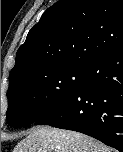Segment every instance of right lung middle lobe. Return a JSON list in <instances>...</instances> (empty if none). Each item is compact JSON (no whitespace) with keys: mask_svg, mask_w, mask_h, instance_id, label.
Returning a JSON list of instances; mask_svg holds the SVG:
<instances>
[{"mask_svg":"<svg viewBox=\"0 0 123 152\" xmlns=\"http://www.w3.org/2000/svg\"><path fill=\"white\" fill-rule=\"evenodd\" d=\"M83 69L61 67L24 76L8 91L10 126L26 127L62 105L80 86Z\"/></svg>","mask_w":123,"mask_h":152,"instance_id":"dd1d6c3e","label":"right lung middle lobe"}]
</instances>
